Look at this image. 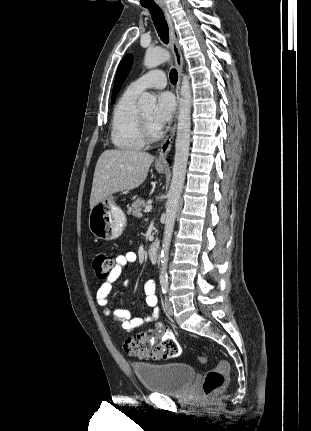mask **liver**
Wrapping results in <instances>:
<instances>
[{
    "label": "liver",
    "mask_w": 311,
    "mask_h": 431,
    "mask_svg": "<svg viewBox=\"0 0 311 431\" xmlns=\"http://www.w3.org/2000/svg\"><path fill=\"white\" fill-rule=\"evenodd\" d=\"M154 160V156L141 150H105L95 168L90 210L112 194L139 188Z\"/></svg>",
    "instance_id": "1"
}]
</instances>
